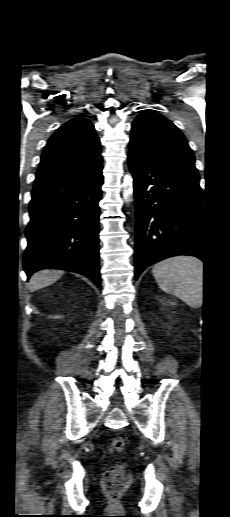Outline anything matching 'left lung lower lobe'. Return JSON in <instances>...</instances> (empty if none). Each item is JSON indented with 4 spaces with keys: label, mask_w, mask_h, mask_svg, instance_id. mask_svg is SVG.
<instances>
[{
    "label": "left lung lower lobe",
    "mask_w": 230,
    "mask_h": 517,
    "mask_svg": "<svg viewBox=\"0 0 230 517\" xmlns=\"http://www.w3.org/2000/svg\"><path fill=\"white\" fill-rule=\"evenodd\" d=\"M136 204L135 279L148 266L177 255L206 262L199 175L129 152Z\"/></svg>",
    "instance_id": "obj_1"
}]
</instances>
